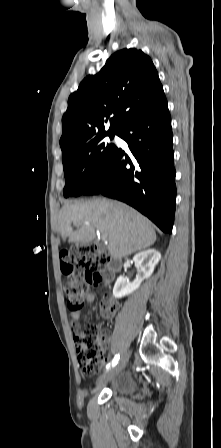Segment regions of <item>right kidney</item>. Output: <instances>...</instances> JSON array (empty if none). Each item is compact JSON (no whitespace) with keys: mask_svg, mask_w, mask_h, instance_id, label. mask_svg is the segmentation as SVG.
<instances>
[{"mask_svg":"<svg viewBox=\"0 0 221 448\" xmlns=\"http://www.w3.org/2000/svg\"><path fill=\"white\" fill-rule=\"evenodd\" d=\"M160 259L161 254L155 249H148L136 254L133 257V261L138 268L136 279L131 283L124 279L123 276H119L113 288V296L115 298H122L137 290L141 283L152 275Z\"/></svg>","mask_w":221,"mask_h":448,"instance_id":"1","label":"right kidney"}]
</instances>
